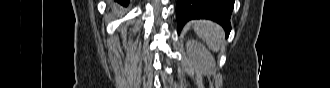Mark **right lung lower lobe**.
Listing matches in <instances>:
<instances>
[{"instance_id":"1","label":"right lung lower lobe","mask_w":330,"mask_h":88,"mask_svg":"<svg viewBox=\"0 0 330 88\" xmlns=\"http://www.w3.org/2000/svg\"><path fill=\"white\" fill-rule=\"evenodd\" d=\"M115 1L123 6H127L129 4V0H115Z\"/></svg>"}]
</instances>
